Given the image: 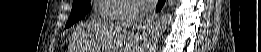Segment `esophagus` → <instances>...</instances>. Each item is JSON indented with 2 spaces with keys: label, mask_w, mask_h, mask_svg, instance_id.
<instances>
[{
  "label": "esophagus",
  "mask_w": 261,
  "mask_h": 52,
  "mask_svg": "<svg viewBox=\"0 0 261 52\" xmlns=\"http://www.w3.org/2000/svg\"><path fill=\"white\" fill-rule=\"evenodd\" d=\"M154 19V16L152 15H147L146 19H140L139 22H137L133 28H132V35H134L136 38L140 37L141 38V33H145L146 30L150 27L152 21Z\"/></svg>",
  "instance_id": "obj_1"
}]
</instances>
